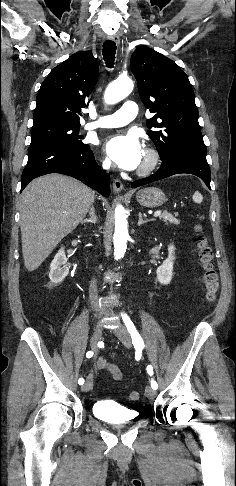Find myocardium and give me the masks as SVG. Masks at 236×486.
<instances>
[{"instance_id":"1","label":"myocardium","mask_w":236,"mask_h":486,"mask_svg":"<svg viewBox=\"0 0 236 486\" xmlns=\"http://www.w3.org/2000/svg\"><path fill=\"white\" fill-rule=\"evenodd\" d=\"M160 162V155L154 148H147L144 153V162L139 167L137 174L139 176H148L152 174Z\"/></svg>"}]
</instances>
